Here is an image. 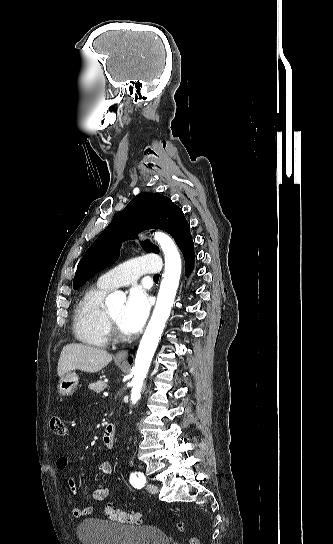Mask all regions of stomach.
Wrapping results in <instances>:
<instances>
[{
    "label": "stomach",
    "instance_id": "stomach-1",
    "mask_svg": "<svg viewBox=\"0 0 333 544\" xmlns=\"http://www.w3.org/2000/svg\"><path fill=\"white\" fill-rule=\"evenodd\" d=\"M79 382L78 375L75 372H67L64 374L58 384V392L60 395H72L77 388Z\"/></svg>",
    "mask_w": 333,
    "mask_h": 544
}]
</instances>
